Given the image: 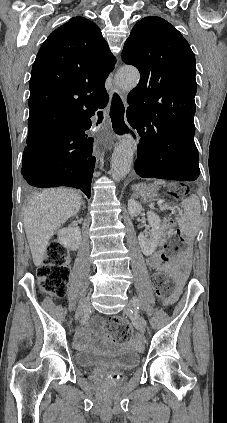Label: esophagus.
I'll use <instances>...</instances> for the list:
<instances>
[{
	"label": "esophagus",
	"instance_id": "34e87169",
	"mask_svg": "<svg viewBox=\"0 0 227 423\" xmlns=\"http://www.w3.org/2000/svg\"><path fill=\"white\" fill-rule=\"evenodd\" d=\"M126 110L127 105L122 93L117 88H113L109 94L107 118L109 119L111 117L110 125L112 126V130L115 131V135L120 136V139H126V136H129L128 138L132 139L134 147L136 148L138 137H132V135H134V130H132L131 124H124V119L126 120Z\"/></svg>",
	"mask_w": 227,
	"mask_h": 423
}]
</instances>
